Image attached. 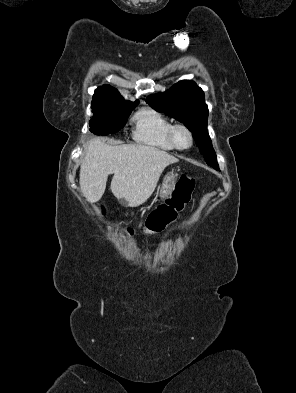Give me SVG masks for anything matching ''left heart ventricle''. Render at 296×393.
I'll return each instance as SVG.
<instances>
[{
  "label": "left heart ventricle",
  "instance_id": "b2bd125f",
  "mask_svg": "<svg viewBox=\"0 0 296 393\" xmlns=\"http://www.w3.org/2000/svg\"><path fill=\"white\" fill-rule=\"evenodd\" d=\"M176 139L178 144L182 147H186L189 144V136L183 129L177 131Z\"/></svg>",
  "mask_w": 296,
  "mask_h": 393
}]
</instances>
